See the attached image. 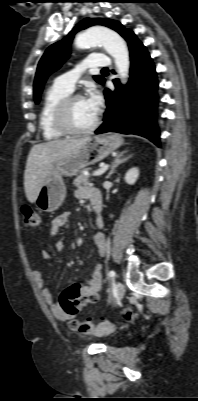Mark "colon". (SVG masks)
Instances as JSON below:
<instances>
[{"label": "colon", "mask_w": 198, "mask_h": 401, "mask_svg": "<svg viewBox=\"0 0 198 401\" xmlns=\"http://www.w3.org/2000/svg\"><path fill=\"white\" fill-rule=\"evenodd\" d=\"M25 224L28 227H38L40 223V217L36 210L29 206H24L22 209ZM75 295L74 284L66 289L61 296V307L67 313H75L77 311V306L71 303V299ZM122 317L125 321H132L136 314L130 309L125 308L122 311ZM90 320H78V325L82 326L85 323H90Z\"/></svg>", "instance_id": "1"}]
</instances>
